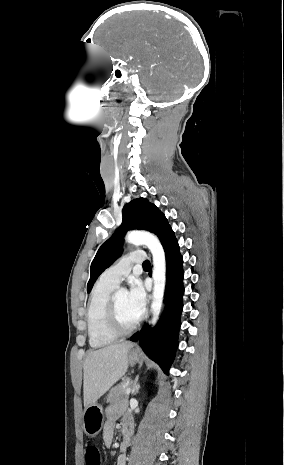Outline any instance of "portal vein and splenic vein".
<instances>
[{"instance_id":"obj_1","label":"portal vein and splenic vein","mask_w":284,"mask_h":465,"mask_svg":"<svg viewBox=\"0 0 284 465\" xmlns=\"http://www.w3.org/2000/svg\"><path fill=\"white\" fill-rule=\"evenodd\" d=\"M129 393H131V389H127L126 395H129Z\"/></svg>"}]
</instances>
